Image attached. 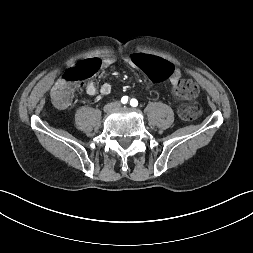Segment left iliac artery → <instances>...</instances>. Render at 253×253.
Returning <instances> with one entry per match:
<instances>
[{
	"instance_id": "left-iliac-artery-1",
	"label": "left iliac artery",
	"mask_w": 253,
	"mask_h": 253,
	"mask_svg": "<svg viewBox=\"0 0 253 253\" xmlns=\"http://www.w3.org/2000/svg\"><path fill=\"white\" fill-rule=\"evenodd\" d=\"M130 105H131L132 107H136V106L138 105V101H137L136 99H131V100H130Z\"/></svg>"
}]
</instances>
